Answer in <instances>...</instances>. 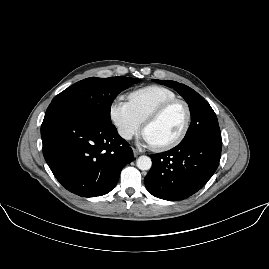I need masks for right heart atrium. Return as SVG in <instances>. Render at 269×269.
Returning a JSON list of instances; mask_svg holds the SVG:
<instances>
[{
	"label": "right heart atrium",
	"mask_w": 269,
	"mask_h": 269,
	"mask_svg": "<svg viewBox=\"0 0 269 269\" xmlns=\"http://www.w3.org/2000/svg\"><path fill=\"white\" fill-rule=\"evenodd\" d=\"M110 118L124 139H131L142 131L143 123L134 114L129 102L117 96L110 106Z\"/></svg>",
	"instance_id": "obj_1"
}]
</instances>
